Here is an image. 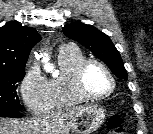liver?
<instances>
[{
	"label": "liver",
	"mask_w": 153,
	"mask_h": 134,
	"mask_svg": "<svg viewBox=\"0 0 153 134\" xmlns=\"http://www.w3.org/2000/svg\"><path fill=\"white\" fill-rule=\"evenodd\" d=\"M84 107L67 109L46 118L36 117L29 121L0 118V134H68L76 115Z\"/></svg>",
	"instance_id": "6515ba94"
}]
</instances>
